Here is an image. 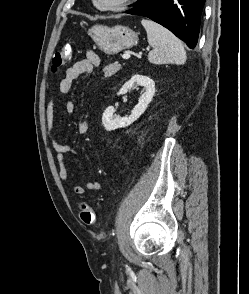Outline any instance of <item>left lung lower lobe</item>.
<instances>
[{
	"label": "left lung lower lobe",
	"instance_id": "left-lung-lower-lobe-1",
	"mask_svg": "<svg viewBox=\"0 0 249 294\" xmlns=\"http://www.w3.org/2000/svg\"><path fill=\"white\" fill-rule=\"evenodd\" d=\"M204 3L205 0H139L126 13L152 19L193 49L198 40Z\"/></svg>",
	"mask_w": 249,
	"mask_h": 294
}]
</instances>
